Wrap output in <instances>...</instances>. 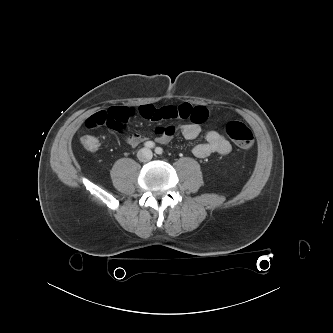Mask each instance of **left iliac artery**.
I'll list each match as a JSON object with an SVG mask.
<instances>
[{
	"mask_svg": "<svg viewBox=\"0 0 333 333\" xmlns=\"http://www.w3.org/2000/svg\"><path fill=\"white\" fill-rule=\"evenodd\" d=\"M155 153L161 155L163 153V149L161 147H156Z\"/></svg>",
	"mask_w": 333,
	"mask_h": 333,
	"instance_id": "44dca946",
	"label": "left iliac artery"
}]
</instances>
